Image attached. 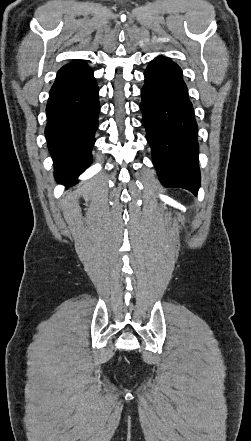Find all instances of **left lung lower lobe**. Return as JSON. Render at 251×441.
Instances as JSON below:
<instances>
[{"label": "left lung lower lobe", "mask_w": 251, "mask_h": 441, "mask_svg": "<svg viewBox=\"0 0 251 441\" xmlns=\"http://www.w3.org/2000/svg\"><path fill=\"white\" fill-rule=\"evenodd\" d=\"M141 89L142 124L153 163L165 187L197 194L200 187L197 123L180 67L167 57L153 59Z\"/></svg>", "instance_id": "1"}]
</instances>
